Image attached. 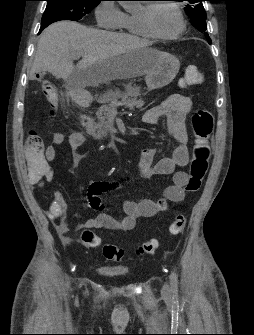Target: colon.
<instances>
[{
	"label": "colon",
	"instance_id": "colon-1",
	"mask_svg": "<svg viewBox=\"0 0 254 335\" xmlns=\"http://www.w3.org/2000/svg\"><path fill=\"white\" fill-rule=\"evenodd\" d=\"M202 75L195 65H186L181 79L183 86H193L201 82ZM42 92L48 99L52 108H56L59 97L56 88L51 84L42 86ZM192 128L195 136L193 158L190 164L189 175L185 184L187 192H197L205 177L208 163L211 156L209 139L214 128V119L210 111L199 109L191 117ZM25 168L26 178H42V185H51L53 172L44 160L43 144L36 131H31L26 142ZM186 226V217L183 214L174 216L169 232L172 235L181 234ZM81 241L88 248H97L100 245V238L91 230H84L81 233ZM159 246L156 239H150L139 246L135 253L138 256L153 255ZM102 254L107 260L121 261L125 256V251L115 245H104Z\"/></svg>",
	"mask_w": 254,
	"mask_h": 335
}]
</instances>
